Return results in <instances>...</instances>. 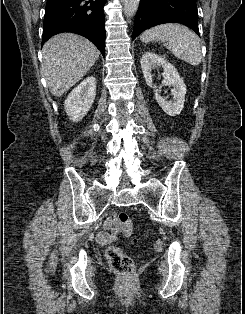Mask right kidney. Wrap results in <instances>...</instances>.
<instances>
[{"mask_svg": "<svg viewBox=\"0 0 245 314\" xmlns=\"http://www.w3.org/2000/svg\"><path fill=\"white\" fill-rule=\"evenodd\" d=\"M96 96V79L88 77L75 87L65 100L64 108L73 122L83 119L92 107Z\"/></svg>", "mask_w": 245, "mask_h": 314, "instance_id": "1", "label": "right kidney"}]
</instances>
